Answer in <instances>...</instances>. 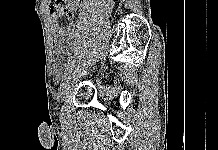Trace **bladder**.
<instances>
[{
    "instance_id": "bladder-1",
    "label": "bladder",
    "mask_w": 218,
    "mask_h": 150,
    "mask_svg": "<svg viewBox=\"0 0 218 150\" xmlns=\"http://www.w3.org/2000/svg\"><path fill=\"white\" fill-rule=\"evenodd\" d=\"M56 76L61 77L62 80H65L70 76V71L67 67L64 65H59V67L56 68L55 70Z\"/></svg>"
}]
</instances>
